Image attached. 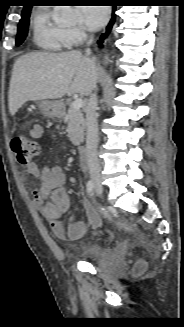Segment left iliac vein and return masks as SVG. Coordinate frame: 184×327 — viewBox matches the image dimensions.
Here are the masks:
<instances>
[{
	"mask_svg": "<svg viewBox=\"0 0 184 327\" xmlns=\"http://www.w3.org/2000/svg\"><path fill=\"white\" fill-rule=\"evenodd\" d=\"M97 194H100V192L96 189Z\"/></svg>",
	"mask_w": 184,
	"mask_h": 327,
	"instance_id": "1",
	"label": "left iliac vein"
}]
</instances>
